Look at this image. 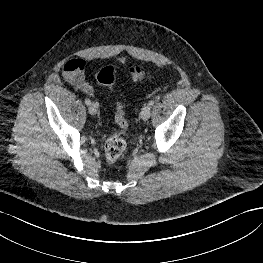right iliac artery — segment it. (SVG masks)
<instances>
[{"label":"right iliac artery","instance_id":"1","mask_svg":"<svg viewBox=\"0 0 263 263\" xmlns=\"http://www.w3.org/2000/svg\"><path fill=\"white\" fill-rule=\"evenodd\" d=\"M85 104H86V105H90V104H91V101H90V99H88V98H87V99H85Z\"/></svg>","mask_w":263,"mask_h":263}]
</instances>
